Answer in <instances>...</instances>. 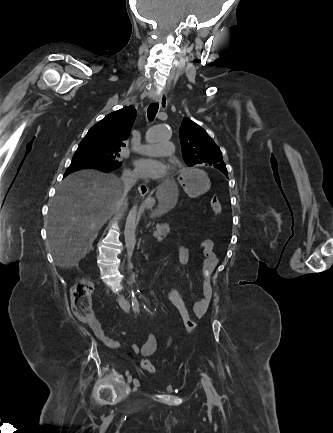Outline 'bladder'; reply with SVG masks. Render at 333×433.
<instances>
[{"label": "bladder", "instance_id": "31cf9c89", "mask_svg": "<svg viewBox=\"0 0 333 433\" xmlns=\"http://www.w3.org/2000/svg\"><path fill=\"white\" fill-rule=\"evenodd\" d=\"M176 388L174 387V386H171V385H169V386H167L166 388H165V391L167 392V393H174V392H176Z\"/></svg>", "mask_w": 333, "mask_h": 433}]
</instances>
